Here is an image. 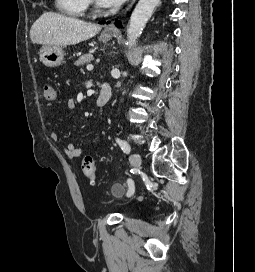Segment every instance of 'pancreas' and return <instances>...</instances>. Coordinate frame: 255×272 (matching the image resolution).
Returning <instances> with one entry per match:
<instances>
[{
  "mask_svg": "<svg viewBox=\"0 0 255 272\" xmlns=\"http://www.w3.org/2000/svg\"><path fill=\"white\" fill-rule=\"evenodd\" d=\"M94 60V57L92 54L88 53L85 55H82L79 57V59L75 62L76 66H83L84 64L90 63L91 61Z\"/></svg>",
  "mask_w": 255,
  "mask_h": 272,
  "instance_id": "pancreas-1",
  "label": "pancreas"
}]
</instances>
